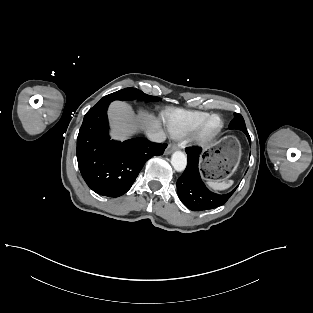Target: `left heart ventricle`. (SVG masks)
<instances>
[{
    "label": "left heart ventricle",
    "instance_id": "1",
    "mask_svg": "<svg viewBox=\"0 0 313 313\" xmlns=\"http://www.w3.org/2000/svg\"><path fill=\"white\" fill-rule=\"evenodd\" d=\"M219 125V121L217 119H214L209 124V130H215Z\"/></svg>",
    "mask_w": 313,
    "mask_h": 313
}]
</instances>
